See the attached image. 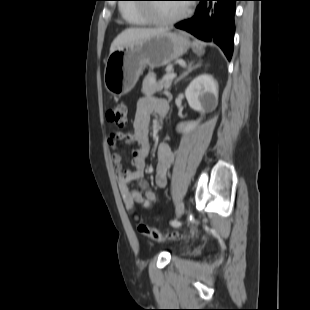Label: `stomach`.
Wrapping results in <instances>:
<instances>
[{
	"label": "stomach",
	"instance_id": "1",
	"mask_svg": "<svg viewBox=\"0 0 310 310\" xmlns=\"http://www.w3.org/2000/svg\"><path fill=\"white\" fill-rule=\"evenodd\" d=\"M190 41L179 33L163 32L139 43L117 49L109 54L104 70L106 89L115 96L130 92L143 68L167 65L181 57Z\"/></svg>",
	"mask_w": 310,
	"mask_h": 310
}]
</instances>
